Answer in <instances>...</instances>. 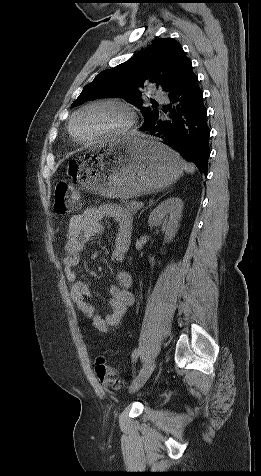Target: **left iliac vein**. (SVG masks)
<instances>
[{
	"mask_svg": "<svg viewBox=\"0 0 261 476\" xmlns=\"http://www.w3.org/2000/svg\"><path fill=\"white\" fill-rule=\"evenodd\" d=\"M155 367H156L155 361H149L145 363L142 369L140 370L139 374L132 381V384L130 386V391L135 392L139 390L148 380V378L154 371Z\"/></svg>",
	"mask_w": 261,
	"mask_h": 476,
	"instance_id": "1",
	"label": "left iliac vein"
}]
</instances>
